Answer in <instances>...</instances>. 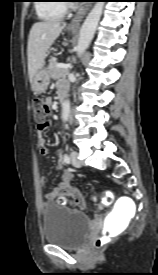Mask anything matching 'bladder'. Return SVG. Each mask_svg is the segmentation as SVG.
Returning <instances> with one entry per match:
<instances>
[{
    "label": "bladder",
    "mask_w": 158,
    "mask_h": 275,
    "mask_svg": "<svg viewBox=\"0 0 158 275\" xmlns=\"http://www.w3.org/2000/svg\"><path fill=\"white\" fill-rule=\"evenodd\" d=\"M44 240L66 249L79 248L89 235L87 214L54 203L42 209Z\"/></svg>",
    "instance_id": "1"
}]
</instances>
